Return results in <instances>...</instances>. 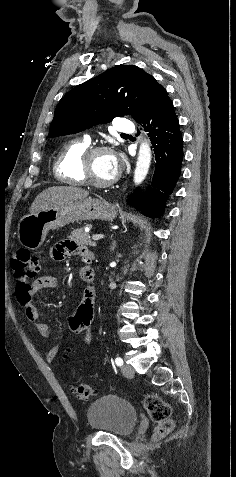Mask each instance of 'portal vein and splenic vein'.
<instances>
[{
    "label": "portal vein and splenic vein",
    "instance_id": "18ae733b",
    "mask_svg": "<svg viewBox=\"0 0 236 477\" xmlns=\"http://www.w3.org/2000/svg\"><path fill=\"white\" fill-rule=\"evenodd\" d=\"M102 238H104V235H103V234H96V235H93V236H92V239H93L94 241L101 240Z\"/></svg>",
    "mask_w": 236,
    "mask_h": 477
}]
</instances>
